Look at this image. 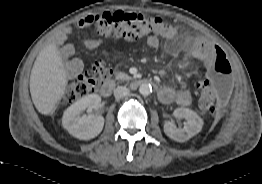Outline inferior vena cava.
Instances as JSON below:
<instances>
[{
	"instance_id": "obj_1",
	"label": "inferior vena cava",
	"mask_w": 262,
	"mask_h": 184,
	"mask_svg": "<svg viewBox=\"0 0 262 184\" xmlns=\"http://www.w3.org/2000/svg\"><path fill=\"white\" fill-rule=\"evenodd\" d=\"M129 89L127 87L124 86H118L115 90H114V96L115 98H123L129 95Z\"/></svg>"
}]
</instances>
